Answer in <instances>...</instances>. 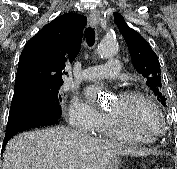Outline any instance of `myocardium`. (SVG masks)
Listing matches in <instances>:
<instances>
[{"label": "myocardium", "mask_w": 177, "mask_h": 169, "mask_svg": "<svg viewBox=\"0 0 177 169\" xmlns=\"http://www.w3.org/2000/svg\"><path fill=\"white\" fill-rule=\"evenodd\" d=\"M120 96L123 98H127V99L143 100L144 102L149 104L156 111V113L158 114L159 119L161 121V128L154 135L134 136V135L128 134L126 132V129H125L122 121L118 117H116L115 115L109 114L108 115L109 120L113 124L114 128L120 134H122L127 139L136 140V141H154L163 134V132L165 130V124H166L163 112L160 109V107L158 106V104L148 94H146L145 92H143L137 88H128V89L123 90L120 93Z\"/></svg>", "instance_id": "1"}]
</instances>
